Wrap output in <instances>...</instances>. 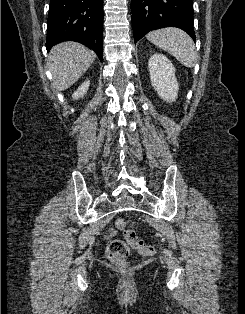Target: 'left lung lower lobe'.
Returning a JSON list of instances; mask_svg holds the SVG:
<instances>
[{"instance_id":"1","label":"left lung lower lobe","mask_w":245,"mask_h":314,"mask_svg":"<svg viewBox=\"0 0 245 314\" xmlns=\"http://www.w3.org/2000/svg\"><path fill=\"white\" fill-rule=\"evenodd\" d=\"M135 42L153 29L178 27L195 40L192 0H132Z\"/></svg>"}]
</instances>
